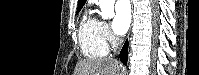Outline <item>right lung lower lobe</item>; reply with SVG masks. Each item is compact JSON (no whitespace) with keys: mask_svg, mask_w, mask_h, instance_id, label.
Returning a JSON list of instances; mask_svg holds the SVG:
<instances>
[{"mask_svg":"<svg viewBox=\"0 0 199 75\" xmlns=\"http://www.w3.org/2000/svg\"><path fill=\"white\" fill-rule=\"evenodd\" d=\"M128 41L125 42L121 52H120V60L124 65H127V59H128Z\"/></svg>","mask_w":199,"mask_h":75,"instance_id":"98d812e1","label":"right lung lower lobe"}]
</instances>
